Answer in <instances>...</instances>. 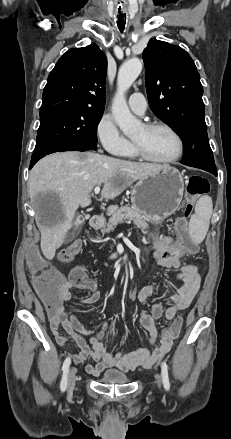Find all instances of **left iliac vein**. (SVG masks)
Listing matches in <instances>:
<instances>
[{
    "instance_id": "4c4485c4",
    "label": "left iliac vein",
    "mask_w": 231,
    "mask_h": 439,
    "mask_svg": "<svg viewBox=\"0 0 231 439\" xmlns=\"http://www.w3.org/2000/svg\"><path fill=\"white\" fill-rule=\"evenodd\" d=\"M155 378H156V384L160 388L161 387V376H160V374H156Z\"/></svg>"
}]
</instances>
